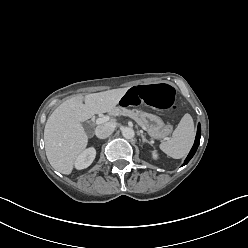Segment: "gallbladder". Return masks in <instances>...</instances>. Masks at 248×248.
I'll return each instance as SVG.
<instances>
[{"instance_id": "bac80fb5", "label": "gallbladder", "mask_w": 248, "mask_h": 248, "mask_svg": "<svg viewBox=\"0 0 248 248\" xmlns=\"http://www.w3.org/2000/svg\"><path fill=\"white\" fill-rule=\"evenodd\" d=\"M84 128H85L86 130H88L89 125H88L87 123H84Z\"/></svg>"}]
</instances>
